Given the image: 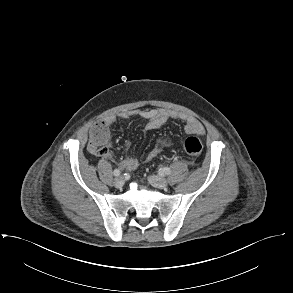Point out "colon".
I'll return each instance as SVG.
<instances>
[{"label":"colon","instance_id":"colon-1","mask_svg":"<svg viewBox=\"0 0 293 293\" xmlns=\"http://www.w3.org/2000/svg\"><path fill=\"white\" fill-rule=\"evenodd\" d=\"M108 133L105 125L102 122H97L90 130L89 147L93 154L104 155L109 151L107 145ZM183 150L191 156H198L202 152V144L195 136L187 137L183 142Z\"/></svg>","mask_w":293,"mask_h":293}]
</instances>
